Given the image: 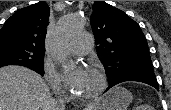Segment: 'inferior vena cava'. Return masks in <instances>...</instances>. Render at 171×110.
Segmentation results:
<instances>
[{
    "mask_svg": "<svg viewBox=\"0 0 171 110\" xmlns=\"http://www.w3.org/2000/svg\"><path fill=\"white\" fill-rule=\"evenodd\" d=\"M58 109L59 110H64L65 109V104H64V101H63V99L62 98H58Z\"/></svg>",
    "mask_w": 171,
    "mask_h": 110,
    "instance_id": "1",
    "label": "inferior vena cava"
}]
</instances>
